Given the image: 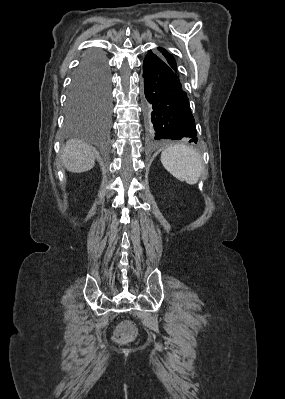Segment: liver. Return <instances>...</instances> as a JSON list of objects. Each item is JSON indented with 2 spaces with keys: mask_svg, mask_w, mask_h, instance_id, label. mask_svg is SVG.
Segmentation results:
<instances>
[{
  "mask_svg": "<svg viewBox=\"0 0 285 399\" xmlns=\"http://www.w3.org/2000/svg\"><path fill=\"white\" fill-rule=\"evenodd\" d=\"M97 151L80 140H70L61 152V160L65 168L73 173H82L95 165Z\"/></svg>",
  "mask_w": 285,
  "mask_h": 399,
  "instance_id": "1",
  "label": "liver"
}]
</instances>
